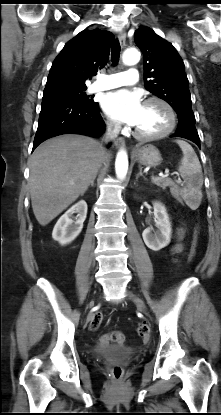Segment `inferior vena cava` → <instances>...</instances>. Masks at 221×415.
<instances>
[{
  "mask_svg": "<svg viewBox=\"0 0 221 415\" xmlns=\"http://www.w3.org/2000/svg\"><path fill=\"white\" fill-rule=\"evenodd\" d=\"M120 128H121V126L117 122L107 123V129H106V132H105V134L102 138L101 146L103 145V143L107 144L108 142L112 141L117 136V134L119 133ZM102 149H103V147H102Z\"/></svg>",
  "mask_w": 221,
  "mask_h": 415,
  "instance_id": "inferior-vena-cava-1",
  "label": "inferior vena cava"
}]
</instances>
